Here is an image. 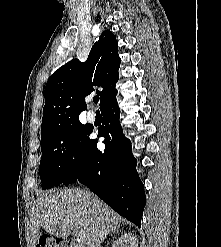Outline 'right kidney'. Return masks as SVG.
I'll return each instance as SVG.
<instances>
[{
	"instance_id": "1",
	"label": "right kidney",
	"mask_w": 221,
	"mask_h": 247,
	"mask_svg": "<svg viewBox=\"0 0 221 247\" xmlns=\"http://www.w3.org/2000/svg\"><path fill=\"white\" fill-rule=\"evenodd\" d=\"M112 247H138V239L134 234H124L113 242Z\"/></svg>"
}]
</instances>
